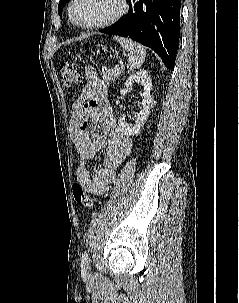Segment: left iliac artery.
<instances>
[{"mask_svg": "<svg viewBox=\"0 0 239 303\" xmlns=\"http://www.w3.org/2000/svg\"><path fill=\"white\" fill-rule=\"evenodd\" d=\"M81 266L83 268H88V266H89V258H88V254L86 252H84V254L82 255Z\"/></svg>", "mask_w": 239, "mask_h": 303, "instance_id": "left-iliac-artery-1", "label": "left iliac artery"}]
</instances>
